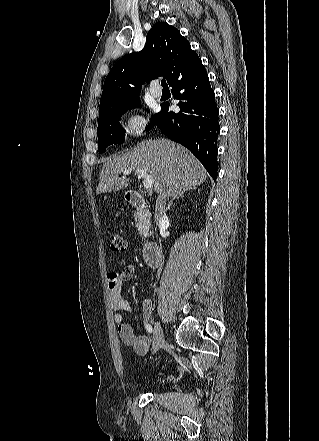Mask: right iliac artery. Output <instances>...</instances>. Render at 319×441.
<instances>
[{
	"instance_id": "right-iliac-artery-1",
	"label": "right iliac artery",
	"mask_w": 319,
	"mask_h": 441,
	"mask_svg": "<svg viewBox=\"0 0 319 441\" xmlns=\"http://www.w3.org/2000/svg\"><path fill=\"white\" fill-rule=\"evenodd\" d=\"M146 329H147V331L149 332V333H152V326L150 325V324H147L146 325Z\"/></svg>"
}]
</instances>
